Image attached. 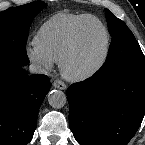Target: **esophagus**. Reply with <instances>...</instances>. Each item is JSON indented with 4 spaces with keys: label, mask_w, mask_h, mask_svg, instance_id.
Listing matches in <instances>:
<instances>
[{
    "label": "esophagus",
    "mask_w": 145,
    "mask_h": 145,
    "mask_svg": "<svg viewBox=\"0 0 145 145\" xmlns=\"http://www.w3.org/2000/svg\"><path fill=\"white\" fill-rule=\"evenodd\" d=\"M53 87H55L57 89H60V90H66L67 89L66 84L59 79H57L53 82Z\"/></svg>",
    "instance_id": "esophagus-1"
}]
</instances>
